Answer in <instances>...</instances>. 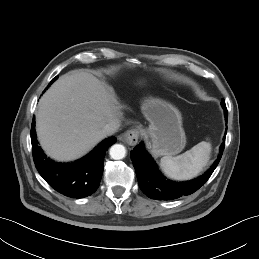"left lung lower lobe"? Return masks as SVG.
Masks as SVG:
<instances>
[{"label":"left lung lower lobe","mask_w":259,"mask_h":259,"mask_svg":"<svg viewBox=\"0 0 259 259\" xmlns=\"http://www.w3.org/2000/svg\"><path fill=\"white\" fill-rule=\"evenodd\" d=\"M227 121L228 111L224 100L221 101ZM227 130V128H226ZM226 136V133H225ZM225 145V137L220 154L209 170L202 176L187 182H174L166 179L158 170L153 158L144 149L143 142L131 151V159L136 171L139 187L149 198L155 200H173L197 191L209 179L217 167Z\"/></svg>","instance_id":"1"}]
</instances>
